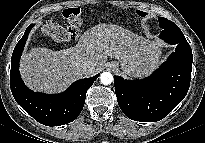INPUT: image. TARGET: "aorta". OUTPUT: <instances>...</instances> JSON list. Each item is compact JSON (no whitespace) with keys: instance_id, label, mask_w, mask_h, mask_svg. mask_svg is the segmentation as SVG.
<instances>
[{"instance_id":"obj_1","label":"aorta","mask_w":205,"mask_h":143,"mask_svg":"<svg viewBox=\"0 0 205 143\" xmlns=\"http://www.w3.org/2000/svg\"><path fill=\"white\" fill-rule=\"evenodd\" d=\"M100 80L104 85L111 84L113 82V75L110 72H103L100 75Z\"/></svg>"}]
</instances>
